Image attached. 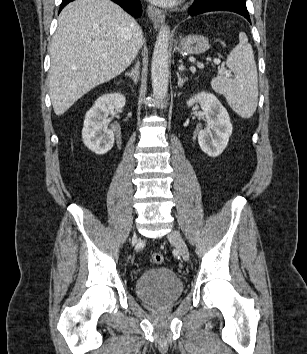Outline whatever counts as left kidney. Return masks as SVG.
Segmentation results:
<instances>
[{"instance_id":"obj_1","label":"left kidney","mask_w":307,"mask_h":354,"mask_svg":"<svg viewBox=\"0 0 307 354\" xmlns=\"http://www.w3.org/2000/svg\"><path fill=\"white\" fill-rule=\"evenodd\" d=\"M196 103L200 104L207 121V128L198 133L199 146L208 156L217 157L227 147L232 134L233 127L229 114L212 93L199 92L187 102V105L191 107Z\"/></svg>"}]
</instances>
